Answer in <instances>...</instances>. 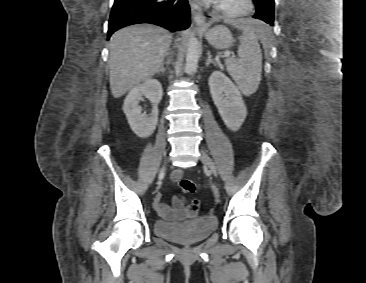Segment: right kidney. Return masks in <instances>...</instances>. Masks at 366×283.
<instances>
[{
    "mask_svg": "<svg viewBox=\"0 0 366 283\" xmlns=\"http://www.w3.org/2000/svg\"><path fill=\"white\" fill-rule=\"evenodd\" d=\"M162 85L157 79H148L130 90L123 104V111L132 131L141 138L149 137L156 129L158 122V103L162 99ZM143 96L152 103L150 115L142 114L139 102Z\"/></svg>",
    "mask_w": 366,
    "mask_h": 283,
    "instance_id": "obj_1",
    "label": "right kidney"
}]
</instances>
